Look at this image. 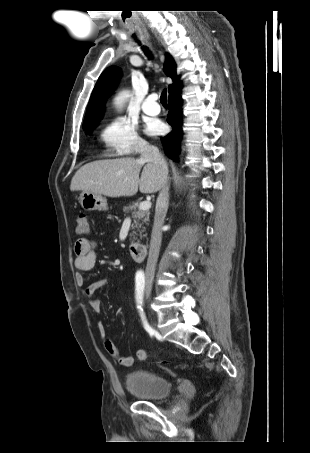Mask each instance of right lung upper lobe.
Returning a JSON list of instances; mask_svg holds the SVG:
<instances>
[{
  "mask_svg": "<svg viewBox=\"0 0 310 453\" xmlns=\"http://www.w3.org/2000/svg\"><path fill=\"white\" fill-rule=\"evenodd\" d=\"M164 71L169 77L172 78L174 84L179 81V78L176 75L175 62L170 55H167L166 57ZM120 75V69L116 66L108 67L100 75L88 104L83 127L96 125L101 119L104 111L105 100L116 87ZM173 85L169 86V90Z\"/></svg>",
  "mask_w": 310,
  "mask_h": 453,
  "instance_id": "right-lung-upper-lobe-1",
  "label": "right lung upper lobe"
}]
</instances>
